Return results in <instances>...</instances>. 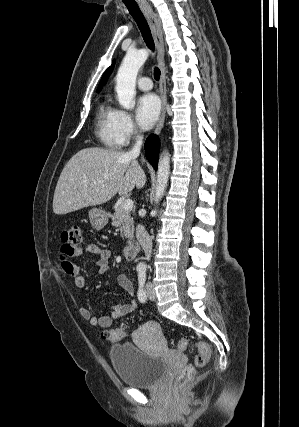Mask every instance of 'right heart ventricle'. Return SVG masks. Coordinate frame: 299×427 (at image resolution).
Masks as SVG:
<instances>
[{"mask_svg":"<svg viewBox=\"0 0 299 427\" xmlns=\"http://www.w3.org/2000/svg\"><path fill=\"white\" fill-rule=\"evenodd\" d=\"M117 110L104 99L98 108L96 115V135L101 143L110 149L121 146L116 130Z\"/></svg>","mask_w":299,"mask_h":427,"instance_id":"obj_1","label":"right heart ventricle"}]
</instances>
